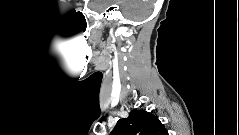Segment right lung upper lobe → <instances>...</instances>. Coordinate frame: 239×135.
<instances>
[{
  "instance_id": "obj_1",
  "label": "right lung upper lobe",
  "mask_w": 239,
  "mask_h": 135,
  "mask_svg": "<svg viewBox=\"0 0 239 135\" xmlns=\"http://www.w3.org/2000/svg\"><path fill=\"white\" fill-rule=\"evenodd\" d=\"M159 119L144 110H132L128 118L119 119L110 135H166Z\"/></svg>"
}]
</instances>
